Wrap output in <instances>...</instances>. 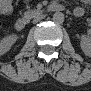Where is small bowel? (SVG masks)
<instances>
[{"label": "small bowel", "mask_w": 91, "mask_h": 91, "mask_svg": "<svg viewBox=\"0 0 91 91\" xmlns=\"http://www.w3.org/2000/svg\"><path fill=\"white\" fill-rule=\"evenodd\" d=\"M9 11H10V9H8L6 13H8Z\"/></svg>", "instance_id": "1"}]
</instances>
